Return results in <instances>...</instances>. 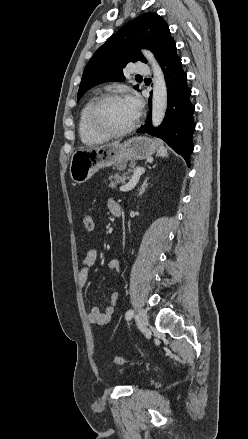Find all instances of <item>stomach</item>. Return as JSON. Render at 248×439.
<instances>
[{
	"label": "stomach",
	"mask_w": 248,
	"mask_h": 439,
	"mask_svg": "<svg viewBox=\"0 0 248 439\" xmlns=\"http://www.w3.org/2000/svg\"><path fill=\"white\" fill-rule=\"evenodd\" d=\"M161 143L148 137H133L124 143H110L76 150L71 157L70 177L78 184L89 180L99 169L128 160H142L159 151Z\"/></svg>",
	"instance_id": "stomach-1"
}]
</instances>
